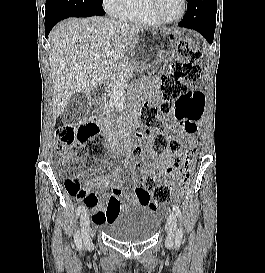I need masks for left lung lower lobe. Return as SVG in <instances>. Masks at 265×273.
<instances>
[{
  "label": "left lung lower lobe",
  "mask_w": 265,
  "mask_h": 273,
  "mask_svg": "<svg viewBox=\"0 0 265 273\" xmlns=\"http://www.w3.org/2000/svg\"><path fill=\"white\" fill-rule=\"evenodd\" d=\"M215 9H217V0H190L187 5V12L179 26L198 31L211 44L216 21L209 23L204 20V16L208 10Z\"/></svg>",
  "instance_id": "1"
}]
</instances>
